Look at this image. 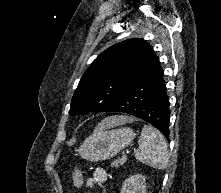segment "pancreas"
I'll list each match as a JSON object with an SVG mask.
<instances>
[{"label": "pancreas", "instance_id": "1", "mask_svg": "<svg viewBox=\"0 0 221 193\" xmlns=\"http://www.w3.org/2000/svg\"><path fill=\"white\" fill-rule=\"evenodd\" d=\"M126 160V157L123 156L122 158L112 162V166L119 167L120 165H123L126 162Z\"/></svg>", "mask_w": 221, "mask_h": 193}]
</instances>
